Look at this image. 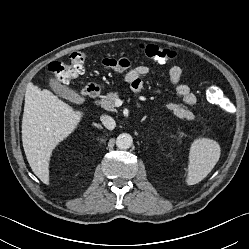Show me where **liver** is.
Returning a JSON list of instances; mask_svg holds the SVG:
<instances>
[{
    "label": "liver",
    "instance_id": "obj_1",
    "mask_svg": "<svg viewBox=\"0 0 249 249\" xmlns=\"http://www.w3.org/2000/svg\"><path fill=\"white\" fill-rule=\"evenodd\" d=\"M82 111H75L49 90L29 84L25 94L22 142L34 174L49 184V162L56 146L79 125Z\"/></svg>",
    "mask_w": 249,
    "mask_h": 249
}]
</instances>
